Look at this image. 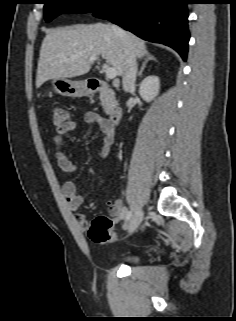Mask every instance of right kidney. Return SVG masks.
Returning a JSON list of instances; mask_svg holds the SVG:
<instances>
[{
  "label": "right kidney",
  "mask_w": 236,
  "mask_h": 321,
  "mask_svg": "<svg viewBox=\"0 0 236 321\" xmlns=\"http://www.w3.org/2000/svg\"><path fill=\"white\" fill-rule=\"evenodd\" d=\"M160 81L157 76L150 75L140 83L139 94L146 102H151L159 94Z\"/></svg>",
  "instance_id": "obj_1"
}]
</instances>
